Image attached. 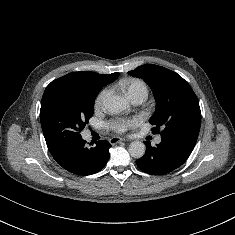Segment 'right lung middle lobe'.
Instances as JSON below:
<instances>
[{"mask_svg":"<svg viewBox=\"0 0 235 235\" xmlns=\"http://www.w3.org/2000/svg\"><path fill=\"white\" fill-rule=\"evenodd\" d=\"M100 89L84 83L56 86L44 93L40 120L48 148H58L80 132L93 115Z\"/></svg>","mask_w":235,"mask_h":235,"instance_id":"obj_1","label":"right lung middle lobe"}]
</instances>
